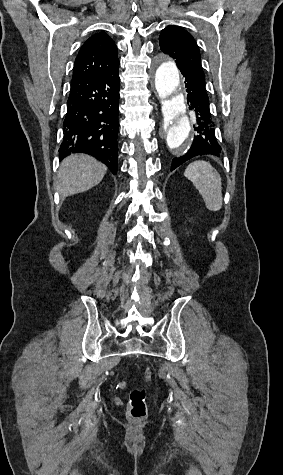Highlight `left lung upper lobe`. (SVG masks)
<instances>
[{"label":"left lung upper lobe","instance_id":"5c2ea615","mask_svg":"<svg viewBox=\"0 0 283 475\" xmlns=\"http://www.w3.org/2000/svg\"><path fill=\"white\" fill-rule=\"evenodd\" d=\"M159 40L160 49L175 59L178 68L191 67L202 70L199 47L186 30L178 26H167L163 29Z\"/></svg>","mask_w":283,"mask_h":475}]
</instances>
